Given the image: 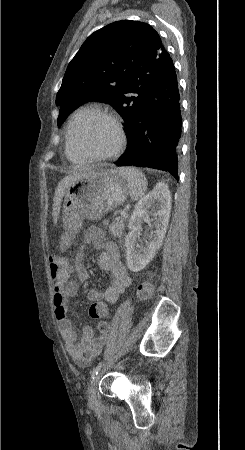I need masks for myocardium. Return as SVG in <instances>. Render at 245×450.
Segmentation results:
<instances>
[{
  "label": "myocardium",
  "instance_id": "myocardium-1",
  "mask_svg": "<svg viewBox=\"0 0 245 450\" xmlns=\"http://www.w3.org/2000/svg\"><path fill=\"white\" fill-rule=\"evenodd\" d=\"M97 119H103L106 120L108 122H110L117 134H118V143L116 148L106 154V155H102V156H94V155H89L86 152H84L77 144L76 139H75V126L79 121H92V120H97ZM68 135H69V139H70V143L72 146V149L75 150L78 154H80L82 157H84L85 159H91V160H95V161H108V160H112L117 158L125 149L126 143H127V136H126V132L123 126L122 121L120 120V118L118 116H116L115 114L106 111V110H95L92 113L88 114L85 117H73L70 121L69 127H68Z\"/></svg>",
  "mask_w": 245,
  "mask_h": 450
}]
</instances>
